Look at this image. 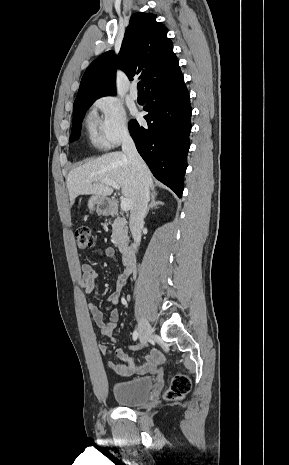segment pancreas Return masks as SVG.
<instances>
[{"instance_id":"1","label":"pancreas","mask_w":289,"mask_h":465,"mask_svg":"<svg viewBox=\"0 0 289 465\" xmlns=\"http://www.w3.org/2000/svg\"><path fill=\"white\" fill-rule=\"evenodd\" d=\"M112 229L113 233L111 238L114 245L117 246L121 252L125 251L129 242L128 228L126 221L118 216V214L112 224Z\"/></svg>"}]
</instances>
